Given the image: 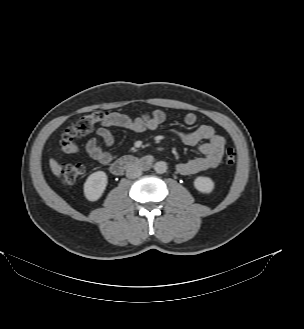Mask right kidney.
Instances as JSON below:
<instances>
[{
    "label": "right kidney",
    "instance_id": "obj_1",
    "mask_svg": "<svg viewBox=\"0 0 304 329\" xmlns=\"http://www.w3.org/2000/svg\"><path fill=\"white\" fill-rule=\"evenodd\" d=\"M107 186V175L103 171H96L89 175L84 183V194L89 201H97Z\"/></svg>",
    "mask_w": 304,
    "mask_h": 329
}]
</instances>
